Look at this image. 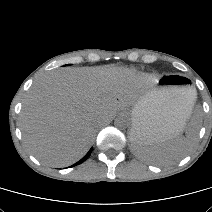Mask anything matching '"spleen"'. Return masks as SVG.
Listing matches in <instances>:
<instances>
[{"label": "spleen", "mask_w": 212, "mask_h": 212, "mask_svg": "<svg viewBox=\"0 0 212 212\" xmlns=\"http://www.w3.org/2000/svg\"><path fill=\"white\" fill-rule=\"evenodd\" d=\"M196 98L197 93L194 87H188L182 93L180 102L185 119L192 114ZM199 127L198 124L195 128H189L186 137L177 136L170 140L150 139L141 128L137 127L134 132V134L137 133L136 138L134 136V141L137 143L135 144L137 156L157 165H171L186 155L197 138Z\"/></svg>", "instance_id": "1"}]
</instances>
